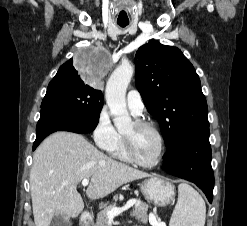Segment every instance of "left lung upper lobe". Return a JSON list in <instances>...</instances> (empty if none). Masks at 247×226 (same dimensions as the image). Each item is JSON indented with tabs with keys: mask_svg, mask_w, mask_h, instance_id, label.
<instances>
[{
	"mask_svg": "<svg viewBox=\"0 0 247 226\" xmlns=\"http://www.w3.org/2000/svg\"><path fill=\"white\" fill-rule=\"evenodd\" d=\"M135 84L158 121L167 149L189 133L209 128L200 79L177 48L151 40L135 55Z\"/></svg>",
	"mask_w": 247,
	"mask_h": 226,
	"instance_id": "5c2ea615",
	"label": "left lung upper lobe"
}]
</instances>
